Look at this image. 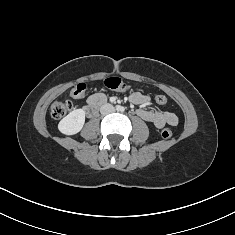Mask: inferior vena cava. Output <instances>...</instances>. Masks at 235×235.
<instances>
[{"label":"inferior vena cava","mask_w":235,"mask_h":235,"mask_svg":"<svg viewBox=\"0 0 235 235\" xmlns=\"http://www.w3.org/2000/svg\"><path fill=\"white\" fill-rule=\"evenodd\" d=\"M114 111H115V109H114L113 105H111L109 103L104 104L100 108V112H101L102 115H107V114L112 113Z\"/></svg>","instance_id":"inferior-vena-cava-1"}]
</instances>
